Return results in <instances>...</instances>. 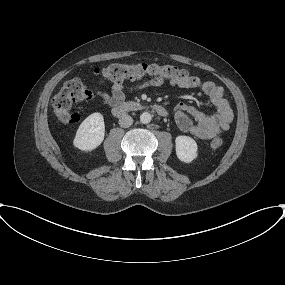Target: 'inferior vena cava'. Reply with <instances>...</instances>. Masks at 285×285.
Instances as JSON below:
<instances>
[{"instance_id": "602c4592", "label": "inferior vena cava", "mask_w": 285, "mask_h": 285, "mask_svg": "<svg viewBox=\"0 0 285 285\" xmlns=\"http://www.w3.org/2000/svg\"><path fill=\"white\" fill-rule=\"evenodd\" d=\"M132 124H133V118L128 114H124L119 118V125L123 128H128Z\"/></svg>"}]
</instances>
